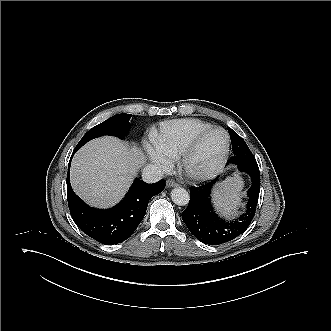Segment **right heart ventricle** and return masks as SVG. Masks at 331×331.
<instances>
[{
    "mask_svg": "<svg viewBox=\"0 0 331 331\" xmlns=\"http://www.w3.org/2000/svg\"><path fill=\"white\" fill-rule=\"evenodd\" d=\"M210 127V123L195 118L168 120L160 124L154 144L171 158H177L195 135Z\"/></svg>",
    "mask_w": 331,
    "mask_h": 331,
    "instance_id": "right-heart-ventricle-1",
    "label": "right heart ventricle"
}]
</instances>
